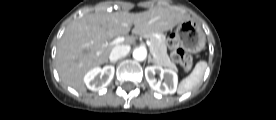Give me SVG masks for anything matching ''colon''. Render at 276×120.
Wrapping results in <instances>:
<instances>
[{
  "label": "colon",
  "instance_id": "5ec220e1",
  "mask_svg": "<svg viewBox=\"0 0 276 120\" xmlns=\"http://www.w3.org/2000/svg\"><path fill=\"white\" fill-rule=\"evenodd\" d=\"M168 46L171 50L172 59L179 63L184 71H190L193 64L192 57L180 46L175 35L169 37Z\"/></svg>",
  "mask_w": 276,
  "mask_h": 120
}]
</instances>
